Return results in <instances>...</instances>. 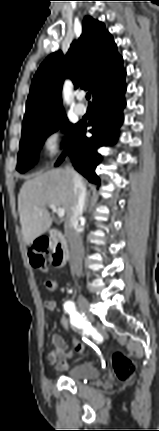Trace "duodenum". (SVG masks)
Listing matches in <instances>:
<instances>
[{
	"label": "duodenum",
	"instance_id": "obj_1",
	"mask_svg": "<svg viewBox=\"0 0 159 431\" xmlns=\"http://www.w3.org/2000/svg\"><path fill=\"white\" fill-rule=\"evenodd\" d=\"M48 241L53 247L52 264L57 268L62 267L66 263L68 255V247L64 236L58 230L51 229L47 236L41 237V242Z\"/></svg>",
	"mask_w": 159,
	"mask_h": 431
}]
</instances>
